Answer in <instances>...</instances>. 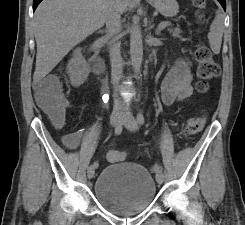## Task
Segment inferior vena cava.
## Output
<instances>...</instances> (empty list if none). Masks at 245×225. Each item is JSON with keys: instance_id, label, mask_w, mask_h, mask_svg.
<instances>
[{"instance_id": "obj_1", "label": "inferior vena cava", "mask_w": 245, "mask_h": 225, "mask_svg": "<svg viewBox=\"0 0 245 225\" xmlns=\"http://www.w3.org/2000/svg\"><path fill=\"white\" fill-rule=\"evenodd\" d=\"M106 40L113 39L114 42L110 47V61H111V76L112 84L115 92L118 91L119 82L122 78L123 61L120 53V43L117 42L118 34L121 31V10L119 8L118 0H109L106 8ZM123 106V102L114 94V110H118Z\"/></svg>"}]
</instances>
